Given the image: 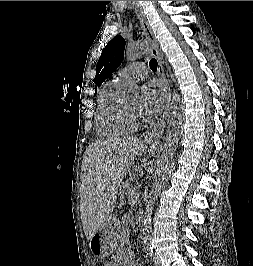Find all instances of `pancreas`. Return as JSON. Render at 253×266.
Masks as SVG:
<instances>
[{
    "mask_svg": "<svg viewBox=\"0 0 253 266\" xmlns=\"http://www.w3.org/2000/svg\"><path fill=\"white\" fill-rule=\"evenodd\" d=\"M136 195L135 188L129 183H124L121 190L120 201L122 204H125L127 200L130 204L134 203Z\"/></svg>",
    "mask_w": 253,
    "mask_h": 266,
    "instance_id": "obj_1",
    "label": "pancreas"
}]
</instances>
